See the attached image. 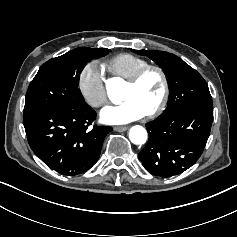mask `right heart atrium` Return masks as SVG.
<instances>
[{
	"mask_svg": "<svg viewBox=\"0 0 237 237\" xmlns=\"http://www.w3.org/2000/svg\"><path fill=\"white\" fill-rule=\"evenodd\" d=\"M78 86L88 105L101 107L108 100L105 78L97 62L87 63L79 73Z\"/></svg>",
	"mask_w": 237,
	"mask_h": 237,
	"instance_id": "right-heart-atrium-1",
	"label": "right heart atrium"
}]
</instances>
